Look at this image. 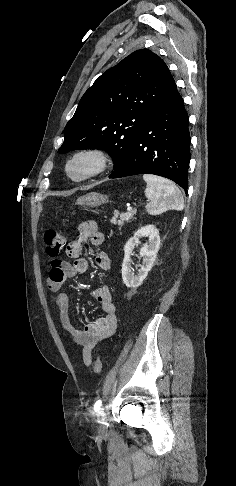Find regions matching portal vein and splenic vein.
<instances>
[{
	"instance_id": "18ae733b",
	"label": "portal vein and splenic vein",
	"mask_w": 236,
	"mask_h": 486,
	"mask_svg": "<svg viewBox=\"0 0 236 486\" xmlns=\"http://www.w3.org/2000/svg\"><path fill=\"white\" fill-rule=\"evenodd\" d=\"M127 210H128V211H132V207H131V206H128V207H127Z\"/></svg>"
}]
</instances>
